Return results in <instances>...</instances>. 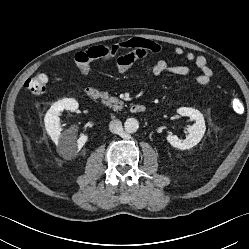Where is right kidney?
Listing matches in <instances>:
<instances>
[{
	"label": "right kidney",
	"mask_w": 249,
	"mask_h": 249,
	"mask_svg": "<svg viewBox=\"0 0 249 249\" xmlns=\"http://www.w3.org/2000/svg\"><path fill=\"white\" fill-rule=\"evenodd\" d=\"M78 102L75 99H62L55 102L47 111L44 123L48 135L52 141L57 145L58 153L65 159H72L85 145L88 136L81 134L76 139L75 131L68 129L61 133L59 115L63 110L75 111L78 108Z\"/></svg>",
	"instance_id": "right-kidney-1"
}]
</instances>
